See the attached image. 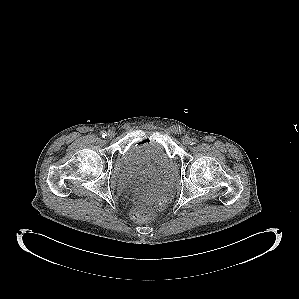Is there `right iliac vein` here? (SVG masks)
<instances>
[{
    "label": "right iliac vein",
    "mask_w": 299,
    "mask_h": 299,
    "mask_svg": "<svg viewBox=\"0 0 299 299\" xmlns=\"http://www.w3.org/2000/svg\"><path fill=\"white\" fill-rule=\"evenodd\" d=\"M115 136V133L113 131L108 132V137L113 138Z\"/></svg>",
    "instance_id": "right-iliac-vein-1"
}]
</instances>
